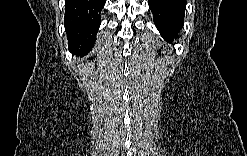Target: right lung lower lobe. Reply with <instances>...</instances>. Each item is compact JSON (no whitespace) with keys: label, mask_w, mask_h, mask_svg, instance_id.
<instances>
[{"label":"right lung lower lobe","mask_w":247,"mask_h":156,"mask_svg":"<svg viewBox=\"0 0 247 156\" xmlns=\"http://www.w3.org/2000/svg\"><path fill=\"white\" fill-rule=\"evenodd\" d=\"M102 0H66L65 29L69 51L81 56L93 47L101 24Z\"/></svg>","instance_id":"98d812e1"}]
</instances>
